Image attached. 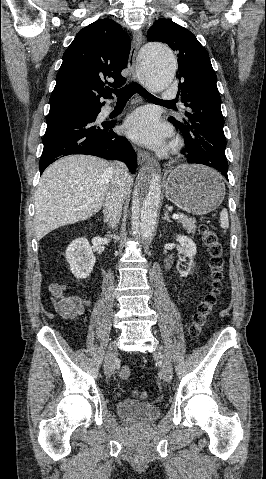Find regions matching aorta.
I'll use <instances>...</instances> for the list:
<instances>
[{"label": "aorta", "instance_id": "1", "mask_svg": "<svg viewBox=\"0 0 266 479\" xmlns=\"http://www.w3.org/2000/svg\"><path fill=\"white\" fill-rule=\"evenodd\" d=\"M143 78L151 91L159 92L169 86L176 72L173 52L162 43L145 44L139 53ZM161 196L160 174L154 171L148 178L140 175L133 204L132 230L135 235L149 238L154 231Z\"/></svg>", "mask_w": 266, "mask_h": 479}]
</instances>
